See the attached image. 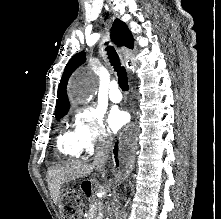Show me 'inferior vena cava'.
Instances as JSON below:
<instances>
[{
	"instance_id": "602c4592",
	"label": "inferior vena cava",
	"mask_w": 221,
	"mask_h": 219,
	"mask_svg": "<svg viewBox=\"0 0 221 219\" xmlns=\"http://www.w3.org/2000/svg\"><path fill=\"white\" fill-rule=\"evenodd\" d=\"M112 150V143L110 141H102L97 147L93 165L100 172L104 171V166L108 160L109 153Z\"/></svg>"
}]
</instances>
